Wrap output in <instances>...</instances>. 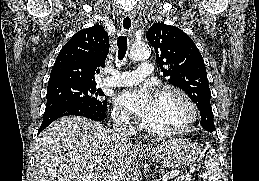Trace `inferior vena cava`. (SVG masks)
<instances>
[{"instance_id": "obj_1", "label": "inferior vena cava", "mask_w": 259, "mask_h": 181, "mask_svg": "<svg viewBox=\"0 0 259 181\" xmlns=\"http://www.w3.org/2000/svg\"><path fill=\"white\" fill-rule=\"evenodd\" d=\"M128 124L129 118L126 115L116 117L113 123L115 138L124 146L130 144ZM106 181H123V172L116 162L108 169Z\"/></svg>"}]
</instances>
